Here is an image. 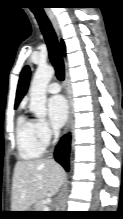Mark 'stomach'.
I'll return each mask as SVG.
<instances>
[{
    "mask_svg": "<svg viewBox=\"0 0 123 219\" xmlns=\"http://www.w3.org/2000/svg\"><path fill=\"white\" fill-rule=\"evenodd\" d=\"M27 211H35V210H33V209H28ZM26 216H30V215H32L31 213H26L25 214Z\"/></svg>",
    "mask_w": 123,
    "mask_h": 219,
    "instance_id": "1",
    "label": "stomach"
}]
</instances>
